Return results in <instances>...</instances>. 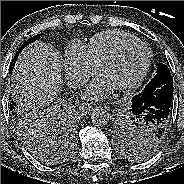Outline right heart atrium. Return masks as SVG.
Listing matches in <instances>:
<instances>
[{
  "mask_svg": "<svg viewBox=\"0 0 184 184\" xmlns=\"http://www.w3.org/2000/svg\"><path fill=\"white\" fill-rule=\"evenodd\" d=\"M64 68L68 82L75 87L84 84L99 69L91 58L87 46L80 41H72L67 47L64 54Z\"/></svg>",
  "mask_w": 184,
  "mask_h": 184,
  "instance_id": "right-heart-atrium-1",
  "label": "right heart atrium"
}]
</instances>
